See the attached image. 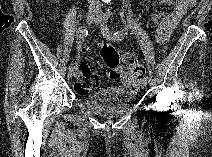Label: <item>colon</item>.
Returning <instances> with one entry per match:
<instances>
[{"mask_svg": "<svg viewBox=\"0 0 212 157\" xmlns=\"http://www.w3.org/2000/svg\"><path fill=\"white\" fill-rule=\"evenodd\" d=\"M173 7L172 0H163L155 5L153 20L159 27L163 26L165 18L172 13ZM100 54L112 79L120 78L124 83H129L141 79L145 73L144 67L139 64V59L134 53H120L112 45L105 44L101 46ZM98 83L97 73L88 68H79L75 83V90L78 93L85 94L95 89Z\"/></svg>", "mask_w": 212, "mask_h": 157, "instance_id": "1", "label": "colon"}]
</instances>
